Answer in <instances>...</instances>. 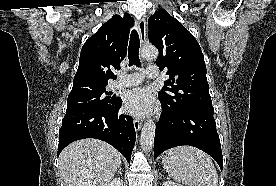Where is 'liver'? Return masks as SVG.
Masks as SVG:
<instances>
[{
  "mask_svg": "<svg viewBox=\"0 0 276 186\" xmlns=\"http://www.w3.org/2000/svg\"><path fill=\"white\" fill-rule=\"evenodd\" d=\"M121 163L122 155L97 139L75 141L59 156L64 186H107Z\"/></svg>",
  "mask_w": 276,
  "mask_h": 186,
  "instance_id": "obj_1",
  "label": "liver"
}]
</instances>
